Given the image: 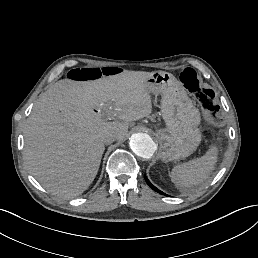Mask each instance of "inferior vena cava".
Returning a JSON list of instances; mask_svg holds the SVG:
<instances>
[{
    "label": "inferior vena cava",
    "mask_w": 258,
    "mask_h": 258,
    "mask_svg": "<svg viewBox=\"0 0 258 258\" xmlns=\"http://www.w3.org/2000/svg\"><path fill=\"white\" fill-rule=\"evenodd\" d=\"M118 138V134L115 132H109L103 135L102 141L104 144H110Z\"/></svg>",
    "instance_id": "inferior-vena-cava-1"
}]
</instances>
